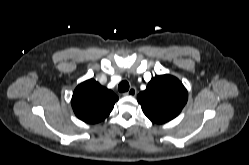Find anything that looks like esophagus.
Segmentation results:
<instances>
[{"label":"esophagus","mask_w":249,"mask_h":165,"mask_svg":"<svg viewBox=\"0 0 249 165\" xmlns=\"http://www.w3.org/2000/svg\"><path fill=\"white\" fill-rule=\"evenodd\" d=\"M137 94V90L135 87H131L128 92L125 93V95H129V96H135Z\"/></svg>","instance_id":"esophagus-1"}]
</instances>
